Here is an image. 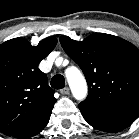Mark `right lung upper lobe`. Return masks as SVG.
Wrapping results in <instances>:
<instances>
[{
	"mask_svg": "<svg viewBox=\"0 0 139 139\" xmlns=\"http://www.w3.org/2000/svg\"><path fill=\"white\" fill-rule=\"evenodd\" d=\"M57 44L48 37L37 46L23 38L0 45V132L7 136L36 124L52 112L56 99L38 65Z\"/></svg>",
	"mask_w": 139,
	"mask_h": 139,
	"instance_id": "obj_1",
	"label": "right lung upper lobe"
}]
</instances>
